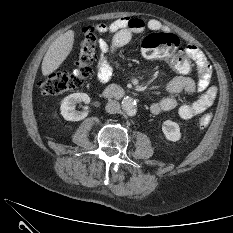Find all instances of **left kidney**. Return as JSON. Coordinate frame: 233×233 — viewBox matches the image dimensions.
Returning <instances> with one entry per match:
<instances>
[{
    "label": "left kidney",
    "instance_id": "1",
    "mask_svg": "<svg viewBox=\"0 0 233 233\" xmlns=\"http://www.w3.org/2000/svg\"><path fill=\"white\" fill-rule=\"evenodd\" d=\"M162 131L169 141H178L181 138L179 125L171 120H166L162 124Z\"/></svg>",
    "mask_w": 233,
    "mask_h": 233
}]
</instances>
